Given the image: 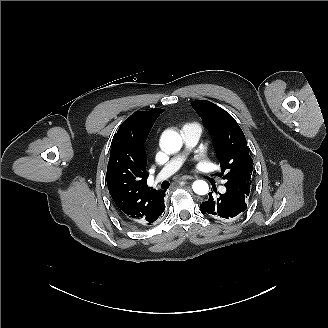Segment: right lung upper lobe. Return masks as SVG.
Here are the masks:
<instances>
[{"label": "right lung upper lobe", "mask_w": 328, "mask_h": 328, "mask_svg": "<svg viewBox=\"0 0 328 328\" xmlns=\"http://www.w3.org/2000/svg\"><path fill=\"white\" fill-rule=\"evenodd\" d=\"M164 109L137 111L126 119L114 135L106 181L118 213L130 225L152 223L163 191L147 186V158L144 143Z\"/></svg>", "instance_id": "1"}]
</instances>
